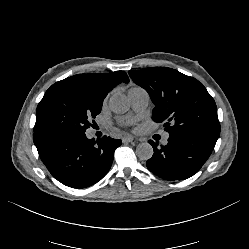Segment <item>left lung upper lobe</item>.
I'll return each mask as SVG.
<instances>
[{
	"instance_id": "1",
	"label": "left lung upper lobe",
	"mask_w": 249,
	"mask_h": 249,
	"mask_svg": "<svg viewBox=\"0 0 249 249\" xmlns=\"http://www.w3.org/2000/svg\"><path fill=\"white\" fill-rule=\"evenodd\" d=\"M131 79L150 95L152 119L168 133L190 131L219 137L220 123L214 99L195 78L167 67L130 70Z\"/></svg>"
}]
</instances>
